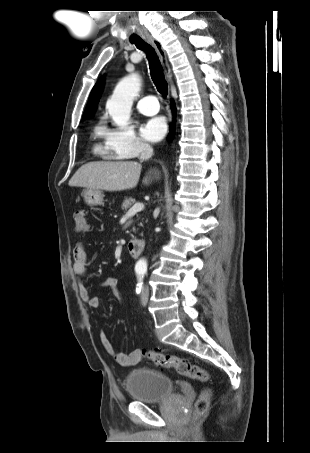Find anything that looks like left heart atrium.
<instances>
[{
    "mask_svg": "<svg viewBox=\"0 0 310 453\" xmlns=\"http://www.w3.org/2000/svg\"><path fill=\"white\" fill-rule=\"evenodd\" d=\"M167 131L166 120L155 117L147 120L141 127V135L148 141L156 142L164 137Z\"/></svg>",
    "mask_w": 310,
    "mask_h": 453,
    "instance_id": "1",
    "label": "left heart atrium"
}]
</instances>
